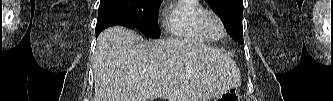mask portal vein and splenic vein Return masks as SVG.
Masks as SVG:
<instances>
[{"label":"portal vein and splenic vein","mask_w":333,"mask_h":101,"mask_svg":"<svg viewBox=\"0 0 333 101\" xmlns=\"http://www.w3.org/2000/svg\"><path fill=\"white\" fill-rule=\"evenodd\" d=\"M165 81L168 82L169 81V77H166Z\"/></svg>","instance_id":"18ae733b"}]
</instances>
